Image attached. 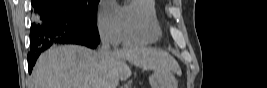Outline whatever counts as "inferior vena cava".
Listing matches in <instances>:
<instances>
[{"instance_id":"obj_1","label":"inferior vena cava","mask_w":267,"mask_h":88,"mask_svg":"<svg viewBox=\"0 0 267 88\" xmlns=\"http://www.w3.org/2000/svg\"><path fill=\"white\" fill-rule=\"evenodd\" d=\"M101 43L102 46L99 53L103 56H109L112 51L110 48L109 39L104 33H101ZM105 88H110V86H106Z\"/></svg>"}]
</instances>
